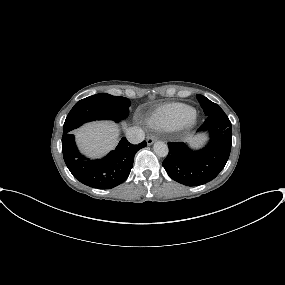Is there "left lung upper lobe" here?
Returning a JSON list of instances; mask_svg holds the SVG:
<instances>
[{
  "instance_id": "5c2ea615",
  "label": "left lung upper lobe",
  "mask_w": 285,
  "mask_h": 285,
  "mask_svg": "<svg viewBox=\"0 0 285 285\" xmlns=\"http://www.w3.org/2000/svg\"><path fill=\"white\" fill-rule=\"evenodd\" d=\"M196 97H197L201 107L203 108L204 113H205L206 116H209V115L215 114V113L224 112L219 107V105H217L216 103L210 101L209 99H207L203 95H197Z\"/></svg>"
}]
</instances>
